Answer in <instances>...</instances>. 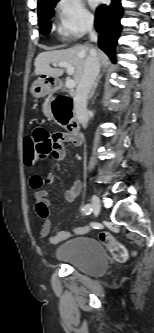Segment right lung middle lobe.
I'll use <instances>...</instances> for the list:
<instances>
[{
	"label": "right lung middle lobe",
	"instance_id": "1",
	"mask_svg": "<svg viewBox=\"0 0 154 333\" xmlns=\"http://www.w3.org/2000/svg\"><path fill=\"white\" fill-rule=\"evenodd\" d=\"M59 0H41L38 2V16L40 32L47 35L51 30V23L49 22L53 8Z\"/></svg>",
	"mask_w": 154,
	"mask_h": 333
}]
</instances>
